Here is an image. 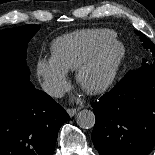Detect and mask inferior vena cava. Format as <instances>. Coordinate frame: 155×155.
Returning a JSON list of instances; mask_svg holds the SVG:
<instances>
[{
  "label": "inferior vena cava",
  "mask_w": 155,
  "mask_h": 155,
  "mask_svg": "<svg viewBox=\"0 0 155 155\" xmlns=\"http://www.w3.org/2000/svg\"><path fill=\"white\" fill-rule=\"evenodd\" d=\"M43 90L53 97H62L65 94L63 86L52 81H45L42 84Z\"/></svg>",
  "instance_id": "602c4592"
}]
</instances>
